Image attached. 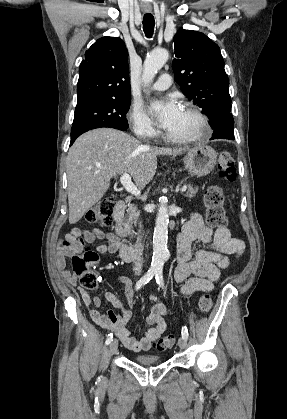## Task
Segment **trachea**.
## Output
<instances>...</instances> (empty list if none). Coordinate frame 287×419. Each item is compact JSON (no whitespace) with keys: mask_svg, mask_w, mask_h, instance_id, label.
Wrapping results in <instances>:
<instances>
[{"mask_svg":"<svg viewBox=\"0 0 287 419\" xmlns=\"http://www.w3.org/2000/svg\"><path fill=\"white\" fill-rule=\"evenodd\" d=\"M155 21L152 14H145L143 17V31L148 38H151L154 32Z\"/></svg>","mask_w":287,"mask_h":419,"instance_id":"1","label":"trachea"}]
</instances>
